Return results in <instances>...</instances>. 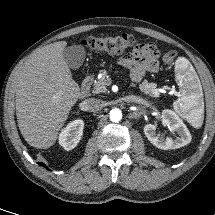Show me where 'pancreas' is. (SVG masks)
Masks as SVG:
<instances>
[{
	"label": "pancreas",
	"instance_id": "cf45deb5",
	"mask_svg": "<svg viewBox=\"0 0 215 215\" xmlns=\"http://www.w3.org/2000/svg\"><path fill=\"white\" fill-rule=\"evenodd\" d=\"M110 83H111V80L110 78H107V71L102 70L100 72V77L94 81L93 93H106L107 86L110 85ZM140 90L151 96H155L158 93L156 89V85L149 84L146 81L140 85Z\"/></svg>",
	"mask_w": 215,
	"mask_h": 215
}]
</instances>
